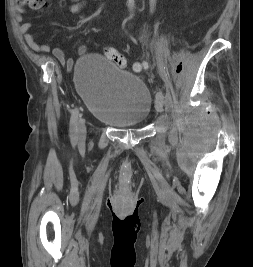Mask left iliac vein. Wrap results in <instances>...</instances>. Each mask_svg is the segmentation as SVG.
Here are the masks:
<instances>
[{
    "mask_svg": "<svg viewBox=\"0 0 253 267\" xmlns=\"http://www.w3.org/2000/svg\"><path fill=\"white\" fill-rule=\"evenodd\" d=\"M155 108L157 112L161 113L163 111V104L161 99H157L155 102Z\"/></svg>",
    "mask_w": 253,
    "mask_h": 267,
    "instance_id": "obj_1",
    "label": "left iliac vein"
}]
</instances>
